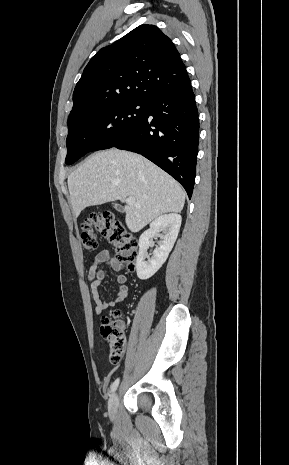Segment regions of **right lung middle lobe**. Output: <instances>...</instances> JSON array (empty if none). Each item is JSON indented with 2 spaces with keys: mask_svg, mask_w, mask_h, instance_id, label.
Masks as SVG:
<instances>
[{
  "mask_svg": "<svg viewBox=\"0 0 289 465\" xmlns=\"http://www.w3.org/2000/svg\"><path fill=\"white\" fill-rule=\"evenodd\" d=\"M146 110L145 100H120L88 106L83 119L68 129L66 164H73L88 152L113 147L142 122Z\"/></svg>",
  "mask_w": 289,
  "mask_h": 465,
  "instance_id": "1",
  "label": "right lung middle lobe"
}]
</instances>
